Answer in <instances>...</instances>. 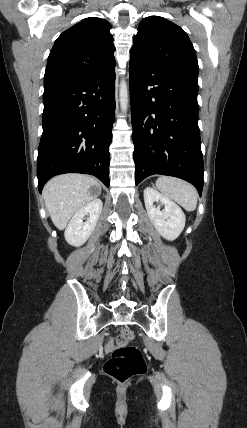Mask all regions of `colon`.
Returning a JSON list of instances; mask_svg holds the SVG:
<instances>
[{"instance_id":"obj_1","label":"colon","mask_w":247,"mask_h":428,"mask_svg":"<svg viewBox=\"0 0 247 428\" xmlns=\"http://www.w3.org/2000/svg\"><path fill=\"white\" fill-rule=\"evenodd\" d=\"M132 338V331L124 329L116 338L108 342L111 355L105 363L104 371L119 383H124L146 370L140 350L135 346L129 345Z\"/></svg>"}]
</instances>
